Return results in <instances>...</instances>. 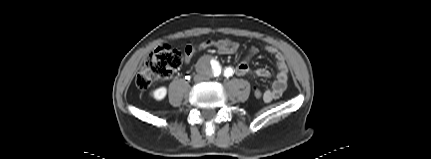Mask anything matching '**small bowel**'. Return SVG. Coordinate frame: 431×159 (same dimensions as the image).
<instances>
[{
	"instance_id": "obj_1",
	"label": "small bowel",
	"mask_w": 431,
	"mask_h": 159,
	"mask_svg": "<svg viewBox=\"0 0 431 159\" xmlns=\"http://www.w3.org/2000/svg\"><path fill=\"white\" fill-rule=\"evenodd\" d=\"M213 47L215 50L217 48L221 49H232L237 52L239 49V44L237 42L231 41L229 39L221 40H207L200 43L198 46L192 47L188 46L185 49V62L188 64L191 62L193 56L200 51L207 48ZM265 50L274 56L276 66H277V76L274 80L270 89L262 91L264 96L261 98L264 102L269 103L277 98H279L287 88L289 70L288 66L284 60L283 55L273 46H265ZM258 52V49L253 47L249 50L247 56L242 59L235 68H231L232 73L238 76L255 75L261 78H269L270 72L265 68L252 69L249 65V61L253 55Z\"/></svg>"
}]
</instances>
